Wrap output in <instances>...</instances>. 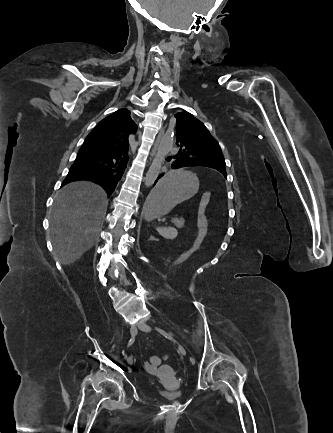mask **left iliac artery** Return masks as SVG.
I'll use <instances>...</instances> for the list:
<instances>
[{
    "label": "left iliac artery",
    "mask_w": 333,
    "mask_h": 433,
    "mask_svg": "<svg viewBox=\"0 0 333 433\" xmlns=\"http://www.w3.org/2000/svg\"><path fill=\"white\" fill-rule=\"evenodd\" d=\"M155 329L160 333V334H162L163 336H165L166 338H171V336L168 334V333H166L164 330H162V329H160V328H158V327H155ZM192 362H194V361H192Z\"/></svg>",
    "instance_id": "left-iliac-artery-1"
}]
</instances>
